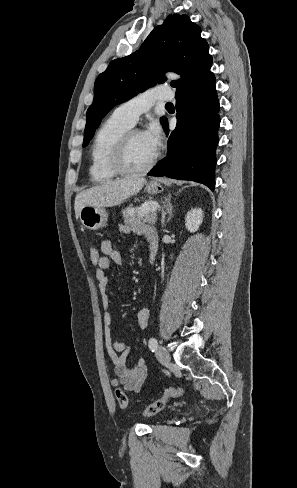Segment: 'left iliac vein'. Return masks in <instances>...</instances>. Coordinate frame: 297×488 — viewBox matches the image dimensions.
Returning a JSON list of instances; mask_svg holds the SVG:
<instances>
[{
	"label": "left iliac vein",
	"mask_w": 297,
	"mask_h": 488,
	"mask_svg": "<svg viewBox=\"0 0 297 488\" xmlns=\"http://www.w3.org/2000/svg\"><path fill=\"white\" fill-rule=\"evenodd\" d=\"M156 358L162 364L169 363L171 360L169 352L162 346H158L155 351Z\"/></svg>",
	"instance_id": "1"
}]
</instances>
